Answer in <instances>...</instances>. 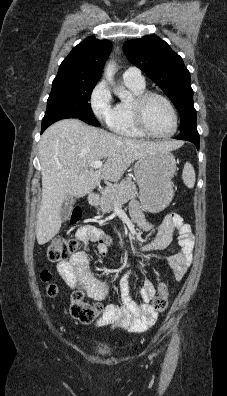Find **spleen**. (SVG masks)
Wrapping results in <instances>:
<instances>
[{
	"instance_id": "3e777b00",
	"label": "spleen",
	"mask_w": 227,
	"mask_h": 396,
	"mask_svg": "<svg viewBox=\"0 0 227 396\" xmlns=\"http://www.w3.org/2000/svg\"><path fill=\"white\" fill-rule=\"evenodd\" d=\"M182 179L188 188L191 189L194 187L195 179H196L195 178V170L189 162H186V164L184 165V169L182 172Z\"/></svg>"
}]
</instances>
